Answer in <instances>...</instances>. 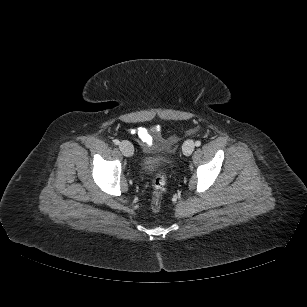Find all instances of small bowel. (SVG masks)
I'll use <instances>...</instances> for the list:
<instances>
[{
	"mask_svg": "<svg viewBox=\"0 0 307 307\" xmlns=\"http://www.w3.org/2000/svg\"><path fill=\"white\" fill-rule=\"evenodd\" d=\"M133 134H136L141 140L142 144L146 148H151L156 140L160 144H164L165 142L159 138L160 128L158 126H153L151 128L138 127L132 130Z\"/></svg>",
	"mask_w": 307,
	"mask_h": 307,
	"instance_id": "c3829d8e",
	"label": "small bowel"
}]
</instances>
